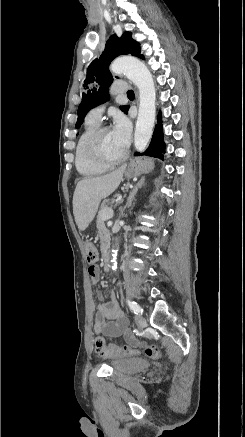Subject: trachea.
Wrapping results in <instances>:
<instances>
[{
	"label": "trachea",
	"instance_id": "3493384b",
	"mask_svg": "<svg viewBox=\"0 0 245 437\" xmlns=\"http://www.w3.org/2000/svg\"><path fill=\"white\" fill-rule=\"evenodd\" d=\"M127 95H128V96H134V92H133V90L128 91V92H127Z\"/></svg>",
	"mask_w": 245,
	"mask_h": 437
}]
</instances>
